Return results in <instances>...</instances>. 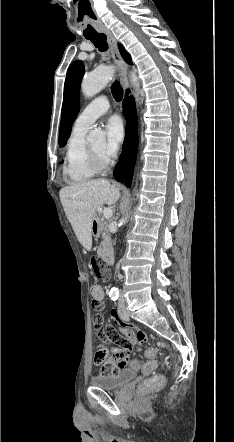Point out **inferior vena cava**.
Returning <instances> with one entry per match:
<instances>
[{
  "label": "inferior vena cava",
  "mask_w": 234,
  "mask_h": 442,
  "mask_svg": "<svg viewBox=\"0 0 234 442\" xmlns=\"http://www.w3.org/2000/svg\"><path fill=\"white\" fill-rule=\"evenodd\" d=\"M116 272H117V276H118V278L121 279L122 276H121L120 273H119V264L116 265Z\"/></svg>",
  "instance_id": "inferior-vena-cava-1"
}]
</instances>
